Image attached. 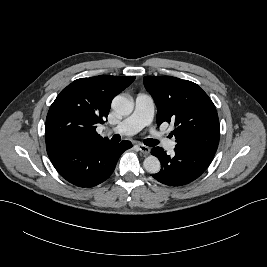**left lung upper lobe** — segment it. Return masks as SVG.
<instances>
[{
	"instance_id": "5c2ea615",
	"label": "left lung upper lobe",
	"mask_w": 267,
	"mask_h": 267,
	"mask_svg": "<svg viewBox=\"0 0 267 267\" xmlns=\"http://www.w3.org/2000/svg\"><path fill=\"white\" fill-rule=\"evenodd\" d=\"M144 86L157 106V124H174L177 145L216 153L220 127L216 108L195 83L172 76H145Z\"/></svg>"
}]
</instances>
